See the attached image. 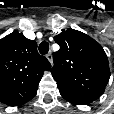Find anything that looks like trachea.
I'll return each instance as SVG.
<instances>
[{"instance_id": "1", "label": "trachea", "mask_w": 114, "mask_h": 114, "mask_svg": "<svg viewBox=\"0 0 114 114\" xmlns=\"http://www.w3.org/2000/svg\"><path fill=\"white\" fill-rule=\"evenodd\" d=\"M48 51H49V43L46 41L41 42L39 45L40 54L45 55L46 53H48Z\"/></svg>"}]
</instances>
